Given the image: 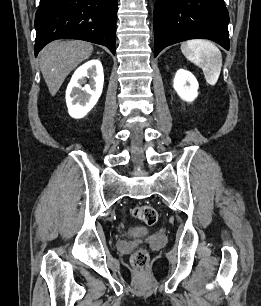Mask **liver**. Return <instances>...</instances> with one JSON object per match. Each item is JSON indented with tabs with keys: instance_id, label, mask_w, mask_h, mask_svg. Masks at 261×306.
Instances as JSON below:
<instances>
[{
	"instance_id": "1",
	"label": "liver",
	"mask_w": 261,
	"mask_h": 306,
	"mask_svg": "<svg viewBox=\"0 0 261 306\" xmlns=\"http://www.w3.org/2000/svg\"><path fill=\"white\" fill-rule=\"evenodd\" d=\"M93 46L85 41H53L40 52V69L48 90L56 95L68 74L88 59Z\"/></svg>"
}]
</instances>
